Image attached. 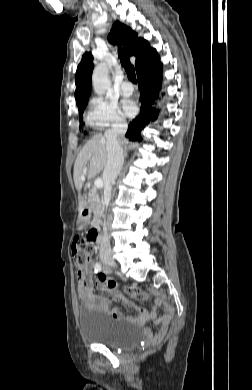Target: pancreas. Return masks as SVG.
Wrapping results in <instances>:
<instances>
[{
	"instance_id": "pancreas-1",
	"label": "pancreas",
	"mask_w": 252,
	"mask_h": 390,
	"mask_svg": "<svg viewBox=\"0 0 252 390\" xmlns=\"http://www.w3.org/2000/svg\"><path fill=\"white\" fill-rule=\"evenodd\" d=\"M89 201H90V206L93 208V211L96 212L97 209H95V207L98 205L100 201L99 195L96 192L90 193Z\"/></svg>"
}]
</instances>
